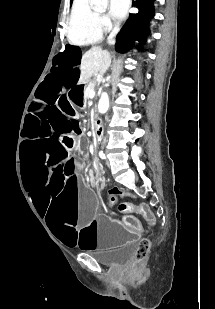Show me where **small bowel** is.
I'll return each mask as SVG.
<instances>
[{
	"mask_svg": "<svg viewBox=\"0 0 215 309\" xmlns=\"http://www.w3.org/2000/svg\"><path fill=\"white\" fill-rule=\"evenodd\" d=\"M146 220L149 222V223H153L155 218L153 216V214L149 211V213L147 214V216L145 217Z\"/></svg>",
	"mask_w": 215,
	"mask_h": 309,
	"instance_id": "c3829d8e",
	"label": "small bowel"
}]
</instances>
